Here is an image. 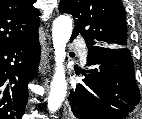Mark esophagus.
<instances>
[{
	"label": "esophagus",
	"instance_id": "obj_1",
	"mask_svg": "<svg viewBox=\"0 0 142 119\" xmlns=\"http://www.w3.org/2000/svg\"><path fill=\"white\" fill-rule=\"evenodd\" d=\"M49 47H46L45 51L42 53L41 63H40V71L42 74L50 72V64H49Z\"/></svg>",
	"mask_w": 142,
	"mask_h": 119
}]
</instances>
